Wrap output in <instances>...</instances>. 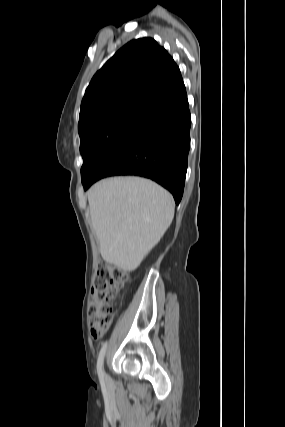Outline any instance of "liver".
Listing matches in <instances>:
<instances>
[{
    "label": "liver",
    "instance_id": "liver-1",
    "mask_svg": "<svg viewBox=\"0 0 285 427\" xmlns=\"http://www.w3.org/2000/svg\"><path fill=\"white\" fill-rule=\"evenodd\" d=\"M88 202L102 258L128 270L141 263L174 217L171 194L139 177L101 180L89 190Z\"/></svg>",
    "mask_w": 285,
    "mask_h": 427
}]
</instances>
